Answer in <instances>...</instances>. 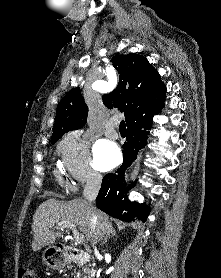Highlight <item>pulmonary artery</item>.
Segmentation results:
<instances>
[{
    "instance_id": "obj_1",
    "label": "pulmonary artery",
    "mask_w": 221,
    "mask_h": 278,
    "mask_svg": "<svg viewBox=\"0 0 221 278\" xmlns=\"http://www.w3.org/2000/svg\"><path fill=\"white\" fill-rule=\"evenodd\" d=\"M105 133L112 139H117L119 137L118 130L116 129V123L114 121L108 122Z\"/></svg>"
}]
</instances>
